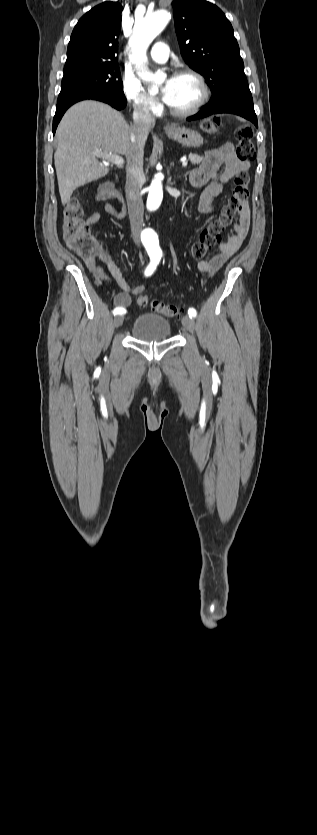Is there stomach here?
<instances>
[{
  "label": "stomach",
  "instance_id": "stomach-1",
  "mask_svg": "<svg viewBox=\"0 0 317 835\" xmlns=\"http://www.w3.org/2000/svg\"><path fill=\"white\" fill-rule=\"evenodd\" d=\"M166 135L188 147L196 148L203 144V137L197 131L185 127L173 126L166 131Z\"/></svg>",
  "mask_w": 317,
  "mask_h": 835
}]
</instances>
